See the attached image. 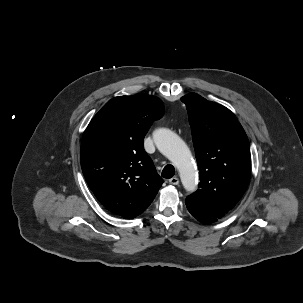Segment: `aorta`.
Wrapping results in <instances>:
<instances>
[{
  "mask_svg": "<svg viewBox=\"0 0 303 303\" xmlns=\"http://www.w3.org/2000/svg\"><path fill=\"white\" fill-rule=\"evenodd\" d=\"M153 139L158 150L177 167L184 188L192 192L197 186V169L184 141L166 128L157 129Z\"/></svg>",
  "mask_w": 303,
  "mask_h": 303,
  "instance_id": "obj_1",
  "label": "aorta"
}]
</instances>
